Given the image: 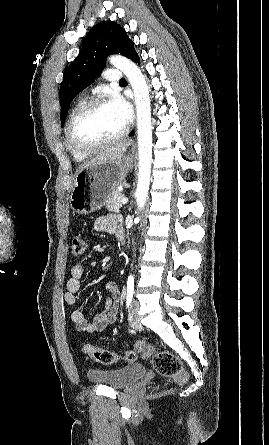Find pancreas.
Listing matches in <instances>:
<instances>
[{"mask_svg":"<svg viewBox=\"0 0 269 445\" xmlns=\"http://www.w3.org/2000/svg\"><path fill=\"white\" fill-rule=\"evenodd\" d=\"M124 197L118 190H113L106 201V208L111 212H119L122 208L121 198Z\"/></svg>","mask_w":269,"mask_h":445,"instance_id":"obj_1","label":"pancreas"}]
</instances>
